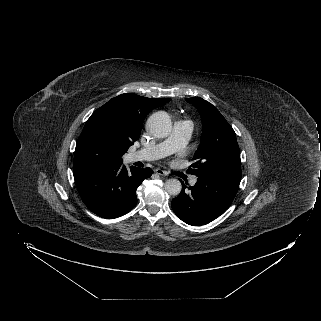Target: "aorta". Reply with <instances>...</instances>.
Returning a JSON list of instances; mask_svg holds the SVG:
<instances>
[{"mask_svg": "<svg viewBox=\"0 0 321 321\" xmlns=\"http://www.w3.org/2000/svg\"><path fill=\"white\" fill-rule=\"evenodd\" d=\"M147 127L155 137L164 138L171 132L172 121L166 112L158 111L149 117ZM181 189L182 185L178 179H169L165 182V190L170 195H178Z\"/></svg>", "mask_w": 321, "mask_h": 321, "instance_id": "obj_1", "label": "aorta"}]
</instances>
